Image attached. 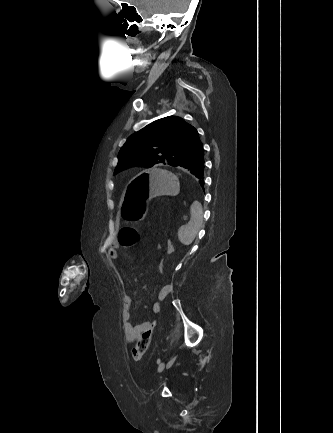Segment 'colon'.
<instances>
[{"mask_svg": "<svg viewBox=\"0 0 333 433\" xmlns=\"http://www.w3.org/2000/svg\"><path fill=\"white\" fill-rule=\"evenodd\" d=\"M118 241L120 246L122 247H133L139 241V234L133 227H123L119 231ZM173 244H168L167 253L168 257H171V254L174 253ZM150 329L144 331L141 336L138 338L136 345L132 349V358L134 361H140L151 341L153 330H155L156 326L159 324V321L156 318H153L150 321Z\"/></svg>", "mask_w": 333, "mask_h": 433, "instance_id": "5ec220e1", "label": "colon"}]
</instances>
